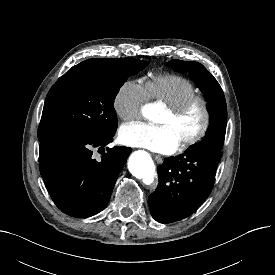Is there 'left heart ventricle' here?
<instances>
[{
  "label": "left heart ventricle",
  "instance_id": "left-heart-ventricle-1",
  "mask_svg": "<svg viewBox=\"0 0 275 275\" xmlns=\"http://www.w3.org/2000/svg\"><path fill=\"white\" fill-rule=\"evenodd\" d=\"M203 121V112L199 104L193 105L180 116H173L165 110L158 120L160 125L169 126L179 143L193 136Z\"/></svg>",
  "mask_w": 275,
  "mask_h": 275
}]
</instances>
